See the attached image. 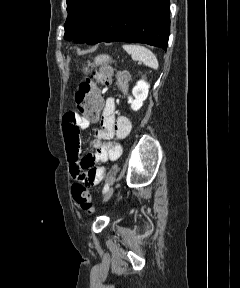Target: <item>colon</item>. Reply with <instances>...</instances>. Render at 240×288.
<instances>
[{
  "label": "colon",
  "mask_w": 240,
  "mask_h": 288,
  "mask_svg": "<svg viewBox=\"0 0 240 288\" xmlns=\"http://www.w3.org/2000/svg\"><path fill=\"white\" fill-rule=\"evenodd\" d=\"M111 78V70L107 67L94 71L92 76L86 78L79 85L75 93V103L82 114L88 121H95L99 118L102 109V97L98 84L108 82ZM118 82L121 87L125 86L126 75L119 74ZM72 197L76 204L84 211H93L91 195L82 182H75L72 186Z\"/></svg>",
  "instance_id": "5ec220e1"
}]
</instances>
